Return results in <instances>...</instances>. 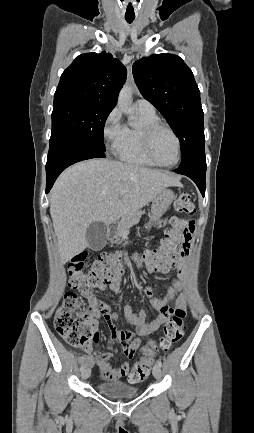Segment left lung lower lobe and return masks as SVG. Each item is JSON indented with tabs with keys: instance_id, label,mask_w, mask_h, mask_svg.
<instances>
[{
	"instance_id": "obj_1",
	"label": "left lung lower lobe",
	"mask_w": 254,
	"mask_h": 433,
	"mask_svg": "<svg viewBox=\"0 0 254 433\" xmlns=\"http://www.w3.org/2000/svg\"><path fill=\"white\" fill-rule=\"evenodd\" d=\"M176 173L186 175L189 178H191L196 185L198 186L201 194L205 195V174H206V168H202L199 166H186V167H179L175 170Z\"/></svg>"
}]
</instances>
